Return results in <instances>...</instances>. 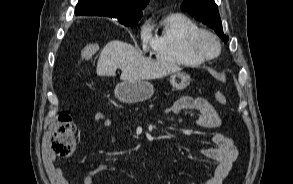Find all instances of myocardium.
Instances as JSON below:
<instances>
[{
    "label": "myocardium",
    "mask_w": 293,
    "mask_h": 184,
    "mask_svg": "<svg viewBox=\"0 0 293 184\" xmlns=\"http://www.w3.org/2000/svg\"><path fill=\"white\" fill-rule=\"evenodd\" d=\"M204 37H208L212 39L217 47V50L213 54H208L204 52L201 48V40ZM189 50L190 52L197 57L198 59H201L203 61L211 60L216 58L220 52H221V42L217 35H215L213 32L206 30V29H199L196 31L189 39L188 42Z\"/></svg>",
    "instance_id": "myocardium-1"
}]
</instances>
